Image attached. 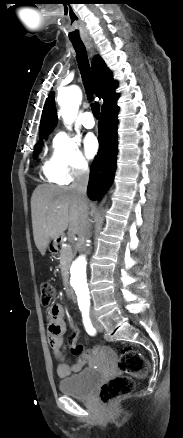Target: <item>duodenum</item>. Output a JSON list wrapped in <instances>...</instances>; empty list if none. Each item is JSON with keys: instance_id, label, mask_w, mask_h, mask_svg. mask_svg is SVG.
I'll return each mask as SVG.
<instances>
[{"instance_id": "410a0bca", "label": "duodenum", "mask_w": 183, "mask_h": 438, "mask_svg": "<svg viewBox=\"0 0 183 438\" xmlns=\"http://www.w3.org/2000/svg\"><path fill=\"white\" fill-rule=\"evenodd\" d=\"M66 288H67V293H68L69 299L71 301H76V295H75L73 289L70 288L68 285H66Z\"/></svg>"}]
</instances>
